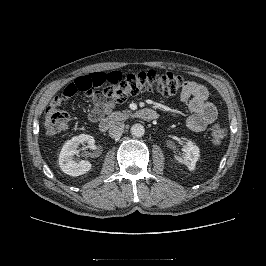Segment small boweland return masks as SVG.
Masks as SVG:
<instances>
[{
  "label": "small bowel",
  "mask_w": 266,
  "mask_h": 266,
  "mask_svg": "<svg viewBox=\"0 0 266 266\" xmlns=\"http://www.w3.org/2000/svg\"><path fill=\"white\" fill-rule=\"evenodd\" d=\"M88 98L93 103V111L103 115L113 110L114 104L104 99L98 92H92ZM180 99L188 103L191 115L187 119V126L194 132H201L214 122L218 117V111L215 105L209 102L208 91L205 86L193 82L185 81L180 93ZM90 118L93 121V117Z\"/></svg>",
  "instance_id": "1"
}]
</instances>
